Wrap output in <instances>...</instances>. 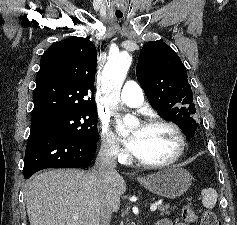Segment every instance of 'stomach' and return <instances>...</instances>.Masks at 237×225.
<instances>
[{
    "label": "stomach",
    "mask_w": 237,
    "mask_h": 225,
    "mask_svg": "<svg viewBox=\"0 0 237 225\" xmlns=\"http://www.w3.org/2000/svg\"><path fill=\"white\" fill-rule=\"evenodd\" d=\"M137 180L150 192L175 199L182 196L189 189L192 176L187 170L179 166H170Z\"/></svg>",
    "instance_id": "0dacf381"
}]
</instances>
